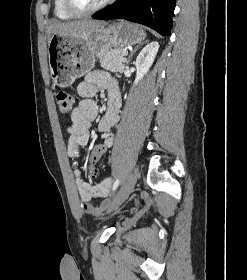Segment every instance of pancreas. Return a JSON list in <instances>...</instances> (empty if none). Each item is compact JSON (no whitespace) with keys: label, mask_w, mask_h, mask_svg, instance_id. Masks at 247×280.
<instances>
[{"label":"pancreas","mask_w":247,"mask_h":280,"mask_svg":"<svg viewBox=\"0 0 247 280\" xmlns=\"http://www.w3.org/2000/svg\"><path fill=\"white\" fill-rule=\"evenodd\" d=\"M125 52L126 50L123 47H118L107 51L106 53L99 56L101 66L112 72L122 73L124 71L125 65L121 59Z\"/></svg>","instance_id":"1"}]
</instances>
